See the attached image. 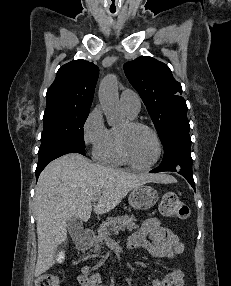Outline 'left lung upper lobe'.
<instances>
[{"mask_svg":"<svg viewBox=\"0 0 231 286\" xmlns=\"http://www.w3.org/2000/svg\"><path fill=\"white\" fill-rule=\"evenodd\" d=\"M124 71L147 107L162 143L175 133L189 132L182 87L167 65L142 56L125 63Z\"/></svg>","mask_w":231,"mask_h":286,"instance_id":"1","label":"left lung upper lobe"}]
</instances>
